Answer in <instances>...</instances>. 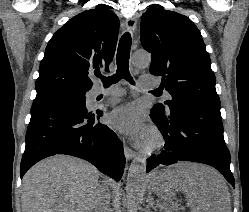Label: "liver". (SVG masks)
Returning <instances> with one entry per match:
<instances>
[{"label": "liver", "instance_id": "obj_1", "mask_svg": "<svg viewBox=\"0 0 249 212\" xmlns=\"http://www.w3.org/2000/svg\"><path fill=\"white\" fill-rule=\"evenodd\" d=\"M99 176L95 166L72 156L41 160L23 178L22 212H93ZM149 178L160 200L170 202L183 192L192 212H231L228 186L210 166L178 162Z\"/></svg>", "mask_w": 249, "mask_h": 212}]
</instances>
